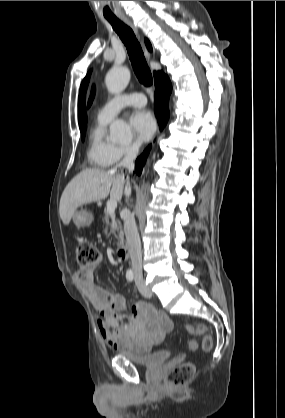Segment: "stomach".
I'll return each mask as SVG.
<instances>
[{"mask_svg":"<svg viewBox=\"0 0 285 418\" xmlns=\"http://www.w3.org/2000/svg\"><path fill=\"white\" fill-rule=\"evenodd\" d=\"M73 222L77 227H86L89 226L92 222L91 214L86 210H81L73 215Z\"/></svg>","mask_w":285,"mask_h":418,"instance_id":"0dacf381","label":"stomach"}]
</instances>
